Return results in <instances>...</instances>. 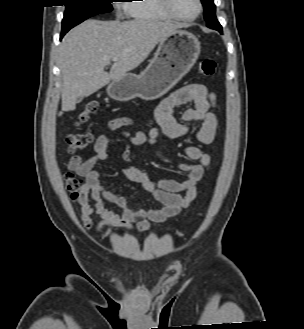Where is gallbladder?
<instances>
[{
	"mask_svg": "<svg viewBox=\"0 0 304 329\" xmlns=\"http://www.w3.org/2000/svg\"><path fill=\"white\" fill-rule=\"evenodd\" d=\"M82 100V96L77 98V103L80 102Z\"/></svg>",
	"mask_w": 304,
	"mask_h": 329,
	"instance_id": "1",
	"label": "gallbladder"
}]
</instances>
